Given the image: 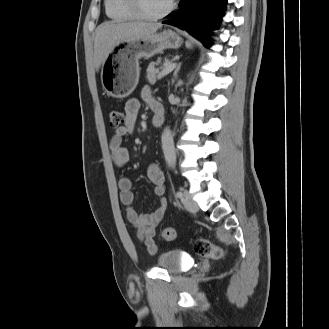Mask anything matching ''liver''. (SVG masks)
Wrapping results in <instances>:
<instances>
[{
  "label": "liver",
  "mask_w": 329,
  "mask_h": 329,
  "mask_svg": "<svg viewBox=\"0 0 329 329\" xmlns=\"http://www.w3.org/2000/svg\"><path fill=\"white\" fill-rule=\"evenodd\" d=\"M162 27L159 23L104 22L95 31L94 65L98 71L115 44L119 41L140 38L155 33Z\"/></svg>",
  "instance_id": "liver-1"
}]
</instances>
